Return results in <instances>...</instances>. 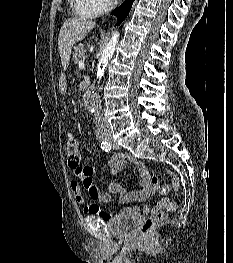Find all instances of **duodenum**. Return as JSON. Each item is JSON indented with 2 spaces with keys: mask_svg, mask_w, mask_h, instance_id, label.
Segmentation results:
<instances>
[{
  "mask_svg": "<svg viewBox=\"0 0 233 263\" xmlns=\"http://www.w3.org/2000/svg\"><path fill=\"white\" fill-rule=\"evenodd\" d=\"M82 83L81 86L84 87V90H91V78L89 75H82L81 76Z\"/></svg>",
  "mask_w": 233,
  "mask_h": 263,
  "instance_id": "1",
  "label": "duodenum"
}]
</instances>
